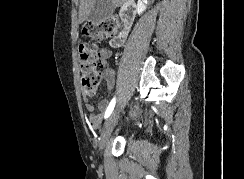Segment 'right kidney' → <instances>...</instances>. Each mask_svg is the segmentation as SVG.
Here are the masks:
<instances>
[{
  "mask_svg": "<svg viewBox=\"0 0 244 179\" xmlns=\"http://www.w3.org/2000/svg\"><path fill=\"white\" fill-rule=\"evenodd\" d=\"M152 2H153V0H152ZM146 4H147V0H138L136 10H137V14H139V16H141V14H143V12H145V10H147Z\"/></svg>",
  "mask_w": 244,
  "mask_h": 179,
  "instance_id": "1",
  "label": "right kidney"
}]
</instances>
